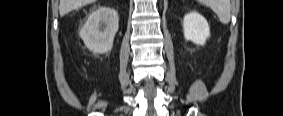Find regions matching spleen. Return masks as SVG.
<instances>
[{
    "instance_id": "obj_1",
    "label": "spleen",
    "mask_w": 283,
    "mask_h": 116,
    "mask_svg": "<svg viewBox=\"0 0 283 116\" xmlns=\"http://www.w3.org/2000/svg\"><path fill=\"white\" fill-rule=\"evenodd\" d=\"M203 4L216 13L222 24L227 25L230 22L231 5L229 0H204Z\"/></svg>"
}]
</instances>
